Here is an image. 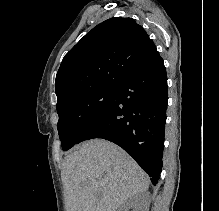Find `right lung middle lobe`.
<instances>
[{
	"mask_svg": "<svg viewBox=\"0 0 219 211\" xmlns=\"http://www.w3.org/2000/svg\"><path fill=\"white\" fill-rule=\"evenodd\" d=\"M115 86H99L57 104L58 132L64 151L77 144L82 133L114 99Z\"/></svg>",
	"mask_w": 219,
	"mask_h": 211,
	"instance_id": "right-lung-middle-lobe-1",
	"label": "right lung middle lobe"
}]
</instances>
